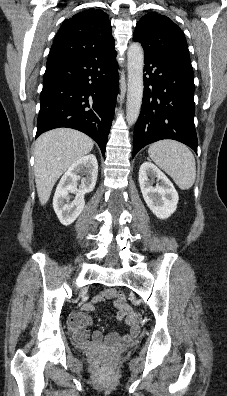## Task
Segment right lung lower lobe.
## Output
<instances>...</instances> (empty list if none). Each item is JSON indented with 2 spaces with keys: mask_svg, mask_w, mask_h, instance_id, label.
<instances>
[{
  "mask_svg": "<svg viewBox=\"0 0 227 396\" xmlns=\"http://www.w3.org/2000/svg\"><path fill=\"white\" fill-rule=\"evenodd\" d=\"M114 47L47 65L40 95L36 138L45 131L79 130L105 153L118 93Z\"/></svg>",
  "mask_w": 227,
  "mask_h": 396,
  "instance_id": "98d812e1",
  "label": "right lung lower lobe"
}]
</instances>
